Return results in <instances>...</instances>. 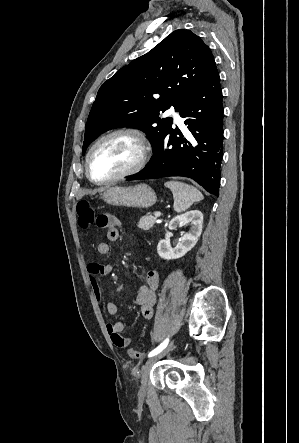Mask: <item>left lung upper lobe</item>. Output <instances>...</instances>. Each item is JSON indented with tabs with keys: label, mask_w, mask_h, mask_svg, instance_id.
I'll use <instances>...</instances> for the list:
<instances>
[{
	"label": "left lung upper lobe",
	"mask_w": 299,
	"mask_h": 443,
	"mask_svg": "<svg viewBox=\"0 0 299 443\" xmlns=\"http://www.w3.org/2000/svg\"><path fill=\"white\" fill-rule=\"evenodd\" d=\"M214 67L211 50L200 37L184 29L172 32L100 87L86 123L83 154L98 135L121 126L144 131L154 151L173 122L161 119L160 111L171 105L179 111Z\"/></svg>",
	"instance_id": "5c2ea615"
}]
</instances>
